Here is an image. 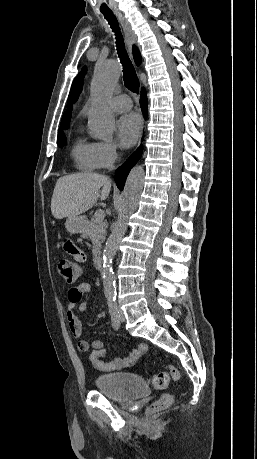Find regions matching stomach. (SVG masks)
Returning <instances> with one entry per match:
<instances>
[{
  "label": "stomach",
  "instance_id": "stomach-1",
  "mask_svg": "<svg viewBox=\"0 0 257 459\" xmlns=\"http://www.w3.org/2000/svg\"><path fill=\"white\" fill-rule=\"evenodd\" d=\"M87 224L84 216L68 217L65 223V227L71 234L82 233Z\"/></svg>",
  "mask_w": 257,
  "mask_h": 459
}]
</instances>
